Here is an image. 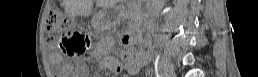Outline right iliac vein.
Masks as SVG:
<instances>
[{"instance_id":"63e3f726","label":"right iliac vein","mask_w":258,"mask_h":77,"mask_svg":"<svg viewBox=\"0 0 258 77\" xmlns=\"http://www.w3.org/2000/svg\"><path fill=\"white\" fill-rule=\"evenodd\" d=\"M160 63L163 67L164 74L167 77H174V69L170 61L167 58H163Z\"/></svg>"}]
</instances>
